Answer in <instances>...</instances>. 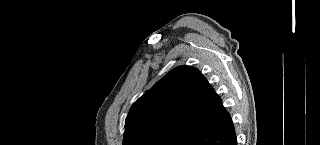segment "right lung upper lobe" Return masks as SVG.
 <instances>
[{"label":"right lung upper lobe","instance_id":"1","mask_svg":"<svg viewBox=\"0 0 320 145\" xmlns=\"http://www.w3.org/2000/svg\"><path fill=\"white\" fill-rule=\"evenodd\" d=\"M221 107L220 97L198 69L178 66L132 105L123 145H136L158 132H180L209 120Z\"/></svg>","mask_w":320,"mask_h":145}]
</instances>
